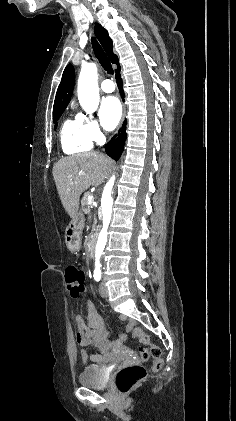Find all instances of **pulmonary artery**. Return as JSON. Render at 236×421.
I'll return each instance as SVG.
<instances>
[{"instance_id":"pulmonary-artery-1","label":"pulmonary artery","mask_w":236,"mask_h":421,"mask_svg":"<svg viewBox=\"0 0 236 421\" xmlns=\"http://www.w3.org/2000/svg\"><path fill=\"white\" fill-rule=\"evenodd\" d=\"M101 89L104 92L111 93V92L115 91L116 84L114 82L110 81V80H104V81L101 82Z\"/></svg>"}]
</instances>
